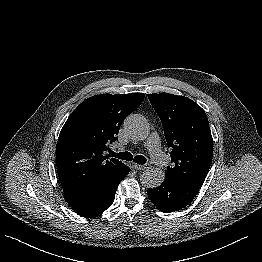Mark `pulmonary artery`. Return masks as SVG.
<instances>
[{"mask_svg":"<svg viewBox=\"0 0 262 262\" xmlns=\"http://www.w3.org/2000/svg\"><path fill=\"white\" fill-rule=\"evenodd\" d=\"M146 147L148 148L151 158L157 164L160 163V159L163 158V153L160 149V139L157 133H152L147 142Z\"/></svg>","mask_w":262,"mask_h":262,"instance_id":"e3ab8cb5","label":"pulmonary artery"}]
</instances>
